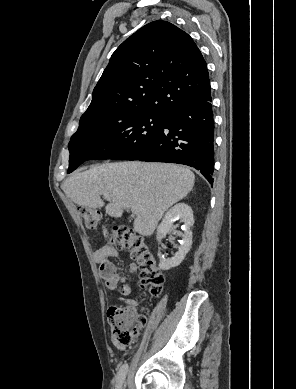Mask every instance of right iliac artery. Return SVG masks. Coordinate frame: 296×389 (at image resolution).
I'll list each match as a JSON object with an SVG mask.
<instances>
[{"instance_id":"82829eb1","label":"right iliac artery","mask_w":296,"mask_h":389,"mask_svg":"<svg viewBox=\"0 0 296 389\" xmlns=\"http://www.w3.org/2000/svg\"><path fill=\"white\" fill-rule=\"evenodd\" d=\"M127 371H128V365L124 364L120 368L118 375H117V384H116L117 389H120L122 387L124 380L126 378Z\"/></svg>"}]
</instances>
